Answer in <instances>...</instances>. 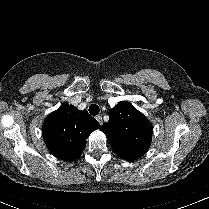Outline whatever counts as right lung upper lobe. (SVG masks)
I'll list each match as a JSON object with an SVG mask.
<instances>
[{
	"mask_svg": "<svg viewBox=\"0 0 209 209\" xmlns=\"http://www.w3.org/2000/svg\"><path fill=\"white\" fill-rule=\"evenodd\" d=\"M99 128L98 121L86 110L79 111L72 105L62 104L46 118L42 135L52 155L64 161H73L85 149L86 138Z\"/></svg>",
	"mask_w": 209,
	"mask_h": 209,
	"instance_id": "cb5924a9",
	"label": "right lung upper lobe"
}]
</instances>
